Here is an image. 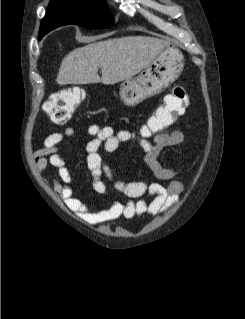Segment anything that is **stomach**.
<instances>
[{
  "mask_svg": "<svg viewBox=\"0 0 245 319\" xmlns=\"http://www.w3.org/2000/svg\"><path fill=\"white\" fill-rule=\"evenodd\" d=\"M184 64V56L178 48L165 47L138 76L121 84L119 94L122 102L134 107L163 92L180 76Z\"/></svg>",
  "mask_w": 245,
  "mask_h": 319,
  "instance_id": "0dacf381",
  "label": "stomach"
}]
</instances>
